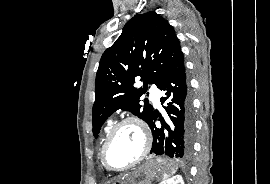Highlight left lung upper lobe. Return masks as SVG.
Here are the masks:
<instances>
[{
	"mask_svg": "<svg viewBox=\"0 0 270 184\" xmlns=\"http://www.w3.org/2000/svg\"><path fill=\"white\" fill-rule=\"evenodd\" d=\"M181 52L173 27L155 12L135 15L116 42L103 53L95 82L93 135L116 110L130 111L149 124L153 107L141 106L148 84L157 87ZM144 82L134 87L135 79Z\"/></svg>",
	"mask_w": 270,
	"mask_h": 184,
	"instance_id": "5c2ea615",
	"label": "left lung upper lobe"
}]
</instances>
